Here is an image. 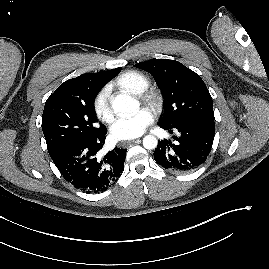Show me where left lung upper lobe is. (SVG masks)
Returning a JSON list of instances; mask_svg holds the SVG:
<instances>
[{"mask_svg":"<svg viewBox=\"0 0 269 269\" xmlns=\"http://www.w3.org/2000/svg\"><path fill=\"white\" fill-rule=\"evenodd\" d=\"M134 66L152 74L162 92V125L171 127L192 119L214 120L211 95L197 73L168 59H152Z\"/></svg>","mask_w":269,"mask_h":269,"instance_id":"1","label":"left lung upper lobe"}]
</instances>
